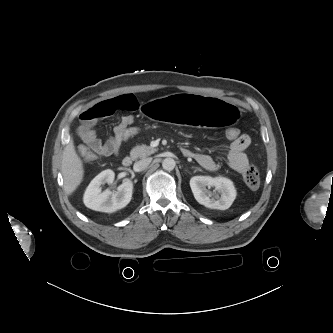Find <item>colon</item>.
<instances>
[{
    "mask_svg": "<svg viewBox=\"0 0 333 333\" xmlns=\"http://www.w3.org/2000/svg\"><path fill=\"white\" fill-rule=\"evenodd\" d=\"M118 133L122 141H128L138 137L142 133V129L132 123L120 128ZM241 135L238 128L230 127L226 130V137L231 141L240 138ZM79 155L86 162L95 161L98 158V155L91 150H79ZM243 179L248 188L252 190L257 189L260 185V173L258 168L255 165L248 166L243 174Z\"/></svg>",
    "mask_w": 333,
    "mask_h": 333,
    "instance_id": "obj_1",
    "label": "colon"
}]
</instances>
